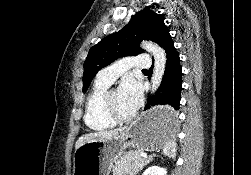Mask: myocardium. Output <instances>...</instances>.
Instances as JSON below:
<instances>
[{
    "instance_id": "myocardium-1",
    "label": "myocardium",
    "mask_w": 251,
    "mask_h": 175,
    "mask_svg": "<svg viewBox=\"0 0 251 175\" xmlns=\"http://www.w3.org/2000/svg\"><path fill=\"white\" fill-rule=\"evenodd\" d=\"M114 90H115L114 88H108L105 91V93H104V95L102 97V100H101L102 110H103L104 114L108 118L112 119L115 122H117V121H126V120L130 119L129 115L117 114V113L113 112V110L110 107L109 97H110V94L112 93V91H114Z\"/></svg>"
}]
</instances>
